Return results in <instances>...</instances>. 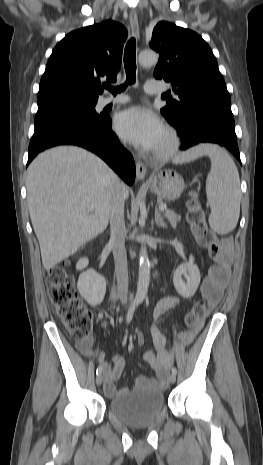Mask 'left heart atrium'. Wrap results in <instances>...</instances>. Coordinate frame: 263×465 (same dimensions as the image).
<instances>
[{
    "instance_id": "39dd6f15",
    "label": "left heart atrium",
    "mask_w": 263,
    "mask_h": 465,
    "mask_svg": "<svg viewBox=\"0 0 263 465\" xmlns=\"http://www.w3.org/2000/svg\"><path fill=\"white\" fill-rule=\"evenodd\" d=\"M114 128L125 140L144 150H155L164 135L160 119L142 107H133L120 112Z\"/></svg>"
}]
</instances>
